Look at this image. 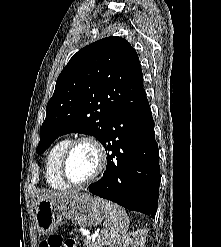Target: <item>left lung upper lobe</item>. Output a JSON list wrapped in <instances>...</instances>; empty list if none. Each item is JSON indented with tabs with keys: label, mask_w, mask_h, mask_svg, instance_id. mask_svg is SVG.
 <instances>
[{
	"label": "left lung upper lobe",
	"mask_w": 221,
	"mask_h": 247,
	"mask_svg": "<svg viewBox=\"0 0 221 247\" xmlns=\"http://www.w3.org/2000/svg\"><path fill=\"white\" fill-rule=\"evenodd\" d=\"M139 58L131 44L110 36L79 50L57 78L36 152L59 136L83 133L104 143L110 121L147 102Z\"/></svg>",
	"instance_id": "left-lung-upper-lobe-1"
}]
</instances>
